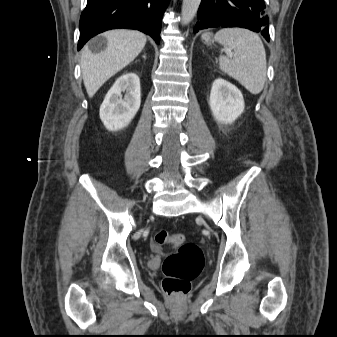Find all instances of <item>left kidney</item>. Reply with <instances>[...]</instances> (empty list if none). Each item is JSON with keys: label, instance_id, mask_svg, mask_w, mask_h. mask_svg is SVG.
<instances>
[{"label": "left kidney", "instance_id": "1", "mask_svg": "<svg viewBox=\"0 0 337 337\" xmlns=\"http://www.w3.org/2000/svg\"><path fill=\"white\" fill-rule=\"evenodd\" d=\"M209 105L214 118L223 124H232L245 107L240 90L222 78L212 84Z\"/></svg>", "mask_w": 337, "mask_h": 337}]
</instances>
